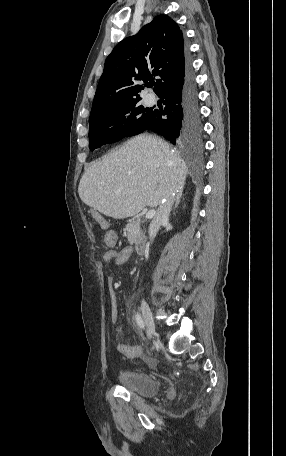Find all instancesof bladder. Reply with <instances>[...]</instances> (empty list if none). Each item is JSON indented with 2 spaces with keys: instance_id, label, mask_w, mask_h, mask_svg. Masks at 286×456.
<instances>
[{
  "instance_id": "bladder-1",
  "label": "bladder",
  "mask_w": 286,
  "mask_h": 456,
  "mask_svg": "<svg viewBox=\"0 0 286 456\" xmlns=\"http://www.w3.org/2000/svg\"><path fill=\"white\" fill-rule=\"evenodd\" d=\"M120 386L141 396L149 397L160 390L159 383L150 375L130 370H123L118 375Z\"/></svg>"
}]
</instances>
